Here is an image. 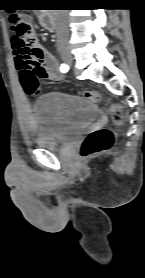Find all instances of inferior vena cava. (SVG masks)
<instances>
[{
	"mask_svg": "<svg viewBox=\"0 0 145 278\" xmlns=\"http://www.w3.org/2000/svg\"><path fill=\"white\" fill-rule=\"evenodd\" d=\"M57 43H66L68 41V28L65 11H58L57 29H56Z\"/></svg>",
	"mask_w": 145,
	"mask_h": 278,
	"instance_id": "602c4592",
	"label": "inferior vena cava"
}]
</instances>
